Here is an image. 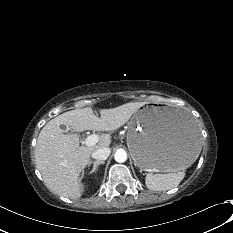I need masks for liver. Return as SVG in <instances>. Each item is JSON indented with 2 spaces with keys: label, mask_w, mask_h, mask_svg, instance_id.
<instances>
[{
  "label": "liver",
  "mask_w": 233,
  "mask_h": 233,
  "mask_svg": "<svg viewBox=\"0 0 233 233\" xmlns=\"http://www.w3.org/2000/svg\"><path fill=\"white\" fill-rule=\"evenodd\" d=\"M146 102H129L116 108L102 109L100 118L90 107L65 112L50 120L41 130L35 148V163L46 187L53 193L79 199L83 194L81 182L91 154L111 144V136L103 134L94 146H80L77 134H64L60 125L76 132L85 130L114 131L123 126Z\"/></svg>",
  "instance_id": "liver-1"
}]
</instances>
